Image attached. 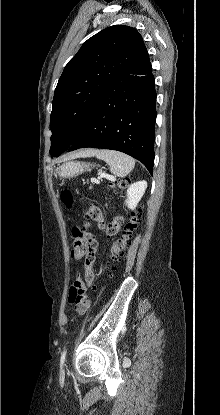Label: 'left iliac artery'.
<instances>
[{
  "mask_svg": "<svg viewBox=\"0 0 220 415\" xmlns=\"http://www.w3.org/2000/svg\"><path fill=\"white\" fill-rule=\"evenodd\" d=\"M67 349H64V351L61 354V363H64L66 358Z\"/></svg>",
  "mask_w": 220,
  "mask_h": 415,
  "instance_id": "44dca946",
  "label": "left iliac artery"
}]
</instances>
